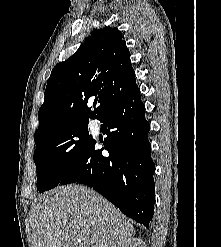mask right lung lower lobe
<instances>
[{
  "instance_id": "1",
  "label": "right lung lower lobe",
  "mask_w": 221,
  "mask_h": 247,
  "mask_svg": "<svg viewBox=\"0 0 221 247\" xmlns=\"http://www.w3.org/2000/svg\"><path fill=\"white\" fill-rule=\"evenodd\" d=\"M98 120L107 135L100 140L103 147L98 149L92 138L59 185L77 182L90 186L122 213L149 228L155 202V166L140 90L106 110Z\"/></svg>"
}]
</instances>
